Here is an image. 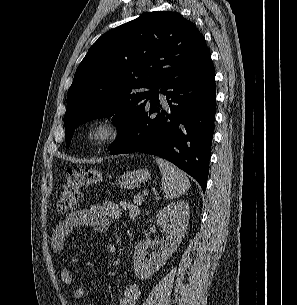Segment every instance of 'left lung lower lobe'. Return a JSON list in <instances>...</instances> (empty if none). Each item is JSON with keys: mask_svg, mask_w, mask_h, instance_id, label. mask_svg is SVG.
I'll return each instance as SVG.
<instances>
[{"mask_svg": "<svg viewBox=\"0 0 297 305\" xmlns=\"http://www.w3.org/2000/svg\"><path fill=\"white\" fill-rule=\"evenodd\" d=\"M160 88L168 104L162 107L155 91L127 136L109 153L142 152L165 158L194 177L204 192L216 112L215 68L211 64L171 78Z\"/></svg>", "mask_w": 297, "mask_h": 305, "instance_id": "left-lung-lower-lobe-1", "label": "left lung lower lobe"}]
</instances>
